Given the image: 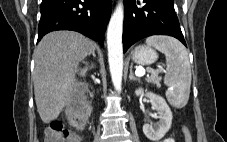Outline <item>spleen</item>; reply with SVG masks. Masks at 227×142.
Instances as JSON below:
<instances>
[{"instance_id":"1","label":"spleen","mask_w":227,"mask_h":142,"mask_svg":"<svg viewBox=\"0 0 227 142\" xmlns=\"http://www.w3.org/2000/svg\"><path fill=\"white\" fill-rule=\"evenodd\" d=\"M146 44L165 54L167 73L164 84L168 87L166 97L174 107H184L189 100L191 86V67L187 49L178 40L169 36H150L146 39Z\"/></svg>"}]
</instances>
